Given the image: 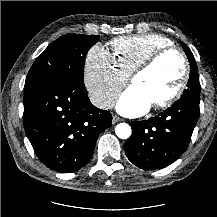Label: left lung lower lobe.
Segmentation results:
<instances>
[{
  "label": "left lung lower lobe",
  "instance_id": "1",
  "mask_svg": "<svg viewBox=\"0 0 217 217\" xmlns=\"http://www.w3.org/2000/svg\"><path fill=\"white\" fill-rule=\"evenodd\" d=\"M199 102L181 97L158 116L131 122L125 145L128 159L141 169H160L176 161L187 149L199 118Z\"/></svg>",
  "mask_w": 217,
  "mask_h": 217
}]
</instances>
